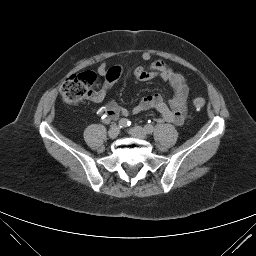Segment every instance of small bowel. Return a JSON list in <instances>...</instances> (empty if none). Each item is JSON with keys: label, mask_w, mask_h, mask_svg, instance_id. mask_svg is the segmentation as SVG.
Masks as SVG:
<instances>
[{"label": "small bowel", "mask_w": 256, "mask_h": 256, "mask_svg": "<svg viewBox=\"0 0 256 256\" xmlns=\"http://www.w3.org/2000/svg\"><path fill=\"white\" fill-rule=\"evenodd\" d=\"M142 59L149 62L147 67H136L132 75L139 81H148L153 78H161L168 81L173 88V96L166 103L160 94H151L142 97L131 109L121 107L113 100H109L103 107L105 120H113L120 116H129L138 114L150 109L158 112L163 121L176 125H182L187 116V106L189 99V87L181 73L171 68L163 60L151 61L149 52L142 53ZM123 68L119 65L108 67L101 64L98 67V74L104 79L103 86L98 91L91 93L89 98L94 102L105 100L108 91L114 83L121 77Z\"/></svg>", "instance_id": "1"}]
</instances>
